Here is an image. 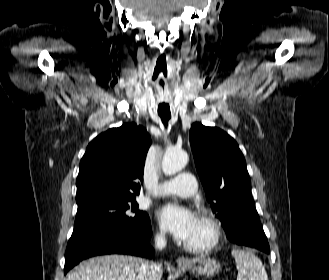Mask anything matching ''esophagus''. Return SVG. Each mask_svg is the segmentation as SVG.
I'll use <instances>...</instances> for the list:
<instances>
[{
	"label": "esophagus",
	"instance_id": "1",
	"mask_svg": "<svg viewBox=\"0 0 329 280\" xmlns=\"http://www.w3.org/2000/svg\"><path fill=\"white\" fill-rule=\"evenodd\" d=\"M177 263H178L179 265H187V264L190 263V261H189L187 258H185V257H179V258L177 259Z\"/></svg>",
	"mask_w": 329,
	"mask_h": 280
}]
</instances>
